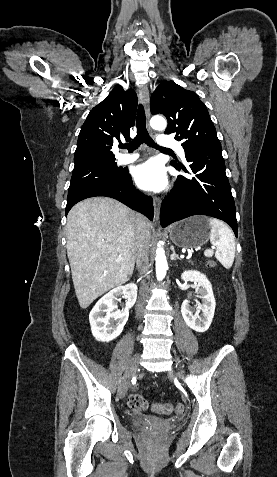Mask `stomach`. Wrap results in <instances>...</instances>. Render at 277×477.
<instances>
[{
    "mask_svg": "<svg viewBox=\"0 0 277 477\" xmlns=\"http://www.w3.org/2000/svg\"><path fill=\"white\" fill-rule=\"evenodd\" d=\"M168 232L176 246L193 249L203 246L209 240L211 227L207 217L198 215L173 224Z\"/></svg>",
    "mask_w": 277,
    "mask_h": 477,
    "instance_id": "obj_1",
    "label": "stomach"
}]
</instances>
